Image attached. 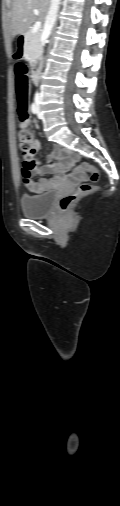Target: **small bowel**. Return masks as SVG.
I'll use <instances>...</instances> for the list:
<instances>
[{"label":"small bowel","mask_w":120,"mask_h":506,"mask_svg":"<svg viewBox=\"0 0 120 506\" xmlns=\"http://www.w3.org/2000/svg\"><path fill=\"white\" fill-rule=\"evenodd\" d=\"M30 122L21 124V127H28ZM39 146V142H38ZM75 154L72 150L66 148H56V150L47 157L45 163H38L34 170L23 169L24 183L27 189L33 193H40L44 191L49 184L46 179L37 182L34 180L35 175H44L47 173L54 174L53 181L57 182L64 179V173L70 170L74 165ZM86 179V175L82 172H76L72 175L74 182H79Z\"/></svg>","instance_id":"1"}]
</instances>
